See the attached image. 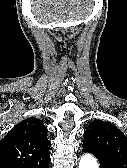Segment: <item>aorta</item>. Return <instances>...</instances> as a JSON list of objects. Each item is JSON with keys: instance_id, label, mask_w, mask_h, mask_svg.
<instances>
[{"instance_id": "762f6f07", "label": "aorta", "mask_w": 127, "mask_h": 168, "mask_svg": "<svg viewBox=\"0 0 127 168\" xmlns=\"http://www.w3.org/2000/svg\"><path fill=\"white\" fill-rule=\"evenodd\" d=\"M78 168H98V163L91 154H84L80 159Z\"/></svg>"}]
</instances>
